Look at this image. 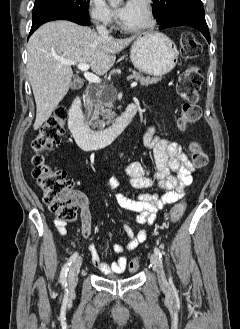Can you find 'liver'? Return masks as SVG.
Instances as JSON below:
<instances>
[{
    "mask_svg": "<svg viewBox=\"0 0 240 329\" xmlns=\"http://www.w3.org/2000/svg\"><path fill=\"white\" fill-rule=\"evenodd\" d=\"M134 39L102 38L94 30L69 21L49 22L38 28L27 47V73L36 102L34 130L49 119L71 85V65L59 59L90 64L94 73L103 75L114 65L116 53Z\"/></svg>",
    "mask_w": 240,
    "mask_h": 329,
    "instance_id": "6515ba94",
    "label": "liver"
}]
</instances>
